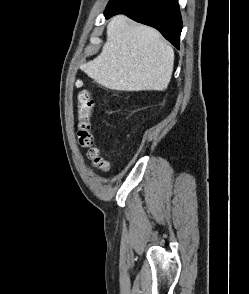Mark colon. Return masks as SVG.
<instances>
[{
    "mask_svg": "<svg viewBox=\"0 0 249 294\" xmlns=\"http://www.w3.org/2000/svg\"><path fill=\"white\" fill-rule=\"evenodd\" d=\"M79 91L77 94L76 116H77V134L79 144L87 148L89 160L100 170L108 171L109 164L103 159L97 148L94 147V135L92 133V119L94 101L91 92L82 87L80 81L77 82Z\"/></svg>",
    "mask_w": 249,
    "mask_h": 294,
    "instance_id": "5ec220e1",
    "label": "colon"
}]
</instances>
